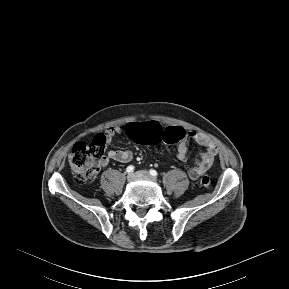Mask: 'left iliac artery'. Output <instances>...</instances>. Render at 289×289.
<instances>
[{
    "instance_id": "obj_1",
    "label": "left iliac artery",
    "mask_w": 289,
    "mask_h": 289,
    "mask_svg": "<svg viewBox=\"0 0 289 289\" xmlns=\"http://www.w3.org/2000/svg\"><path fill=\"white\" fill-rule=\"evenodd\" d=\"M150 174H151L152 176H154V177L158 176L157 171L154 170V169H151V170H150Z\"/></svg>"
}]
</instances>
